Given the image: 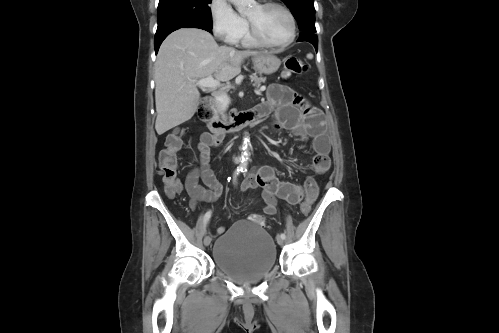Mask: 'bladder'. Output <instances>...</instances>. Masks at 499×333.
Wrapping results in <instances>:
<instances>
[{"instance_id":"1","label":"bladder","mask_w":499,"mask_h":333,"mask_svg":"<svg viewBox=\"0 0 499 333\" xmlns=\"http://www.w3.org/2000/svg\"><path fill=\"white\" fill-rule=\"evenodd\" d=\"M215 266L239 282H254L270 274L277 263L272 236L258 223L240 220L219 236L213 248Z\"/></svg>"}]
</instances>
